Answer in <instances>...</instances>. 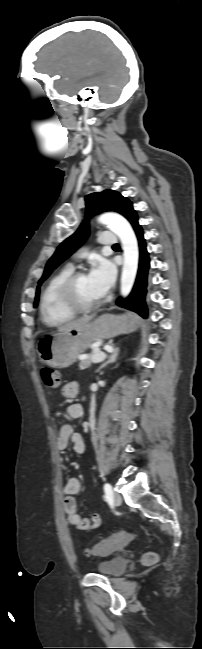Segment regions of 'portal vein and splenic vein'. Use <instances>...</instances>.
<instances>
[{
	"label": "portal vein and splenic vein",
	"mask_w": 202,
	"mask_h": 649,
	"mask_svg": "<svg viewBox=\"0 0 202 649\" xmlns=\"http://www.w3.org/2000/svg\"><path fill=\"white\" fill-rule=\"evenodd\" d=\"M110 351H112V349H111ZM105 356H106L105 353H95V354L92 356V362H94V363H100V362H102V361L105 359ZM86 358H87V356H81V357H80L81 360H84V359H86Z\"/></svg>",
	"instance_id": "obj_1"
}]
</instances>
